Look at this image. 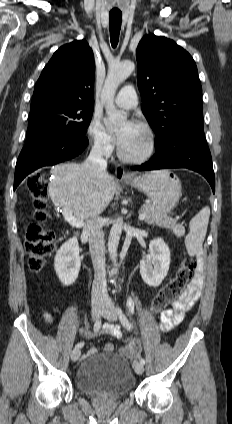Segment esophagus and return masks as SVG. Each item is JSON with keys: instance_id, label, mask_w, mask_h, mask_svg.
<instances>
[{"instance_id": "34e87169", "label": "esophagus", "mask_w": 232, "mask_h": 424, "mask_svg": "<svg viewBox=\"0 0 232 424\" xmlns=\"http://www.w3.org/2000/svg\"><path fill=\"white\" fill-rule=\"evenodd\" d=\"M115 176L117 179H130L131 176L127 174L124 170V167L120 164H118L115 168Z\"/></svg>"}]
</instances>
